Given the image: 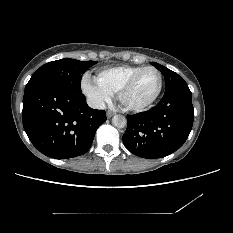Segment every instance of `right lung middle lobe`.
Here are the masks:
<instances>
[{
	"mask_svg": "<svg viewBox=\"0 0 233 233\" xmlns=\"http://www.w3.org/2000/svg\"><path fill=\"white\" fill-rule=\"evenodd\" d=\"M96 63L95 61H79L70 58L46 63L34 72L25 87V92L43 86H60L81 91L82 74Z\"/></svg>",
	"mask_w": 233,
	"mask_h": 233,
	"instance_id": "dd1d6c3e",
	"label": "right lung middle lobe"
}]
</instances>
